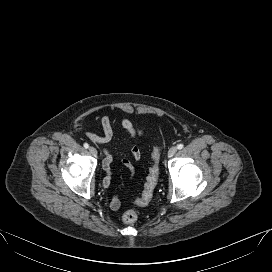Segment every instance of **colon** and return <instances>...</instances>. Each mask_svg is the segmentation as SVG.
<instances>
[{
    "label": "colon",
    "instance_id": "1",
    "mask_svg": "<svg viewBox=\"0 0 272 272\" xmlns=\"http://www.w3.org/2000/svg\"><path fill=\"white\" fill-rule=\"evenodd\" d=\"M160 150H161L160 147H156L152 152V165L146 177L142 195L136 200V203L138 205H146L147 203H149L153 196V192L155 190L159 178ZM122 219L124 223L128 225H133L138 220L137 212L133 209H129L123 214Z\"/></svg>",
    "mask_w": 272,
    "mask_h": 272
}]
</instances>
